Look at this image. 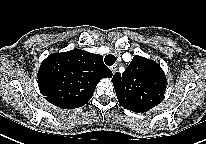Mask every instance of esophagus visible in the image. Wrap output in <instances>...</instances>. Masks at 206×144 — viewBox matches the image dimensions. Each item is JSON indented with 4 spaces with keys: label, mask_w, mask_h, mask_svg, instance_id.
Instances as JSON below:
<instances>
[{
    "label": "esophagus",
    "mask_w": 206,
    "mask_h": 144,
    "mask_svg": "<svg viewBox=\"0 0 206 144\" xmlns=\"http://www.w3.org/2000/svg\"><path fill=\"white\" fill-rule=\"evenodd\" d=\"M110 69H111L112 73L115 74V72L117 71V65H112L110 67Z\"/></svg>",
    "instance_id": "1"
}]
</instances>
